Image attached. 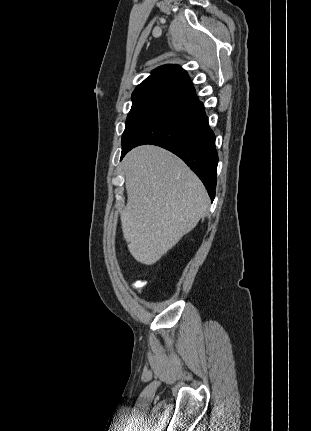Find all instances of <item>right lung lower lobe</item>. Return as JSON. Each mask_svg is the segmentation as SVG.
Here are the masks:
<instances>
[{"instance_id":"right-lung-lower-lobe-1","label":"right lung lower lobe","mask_w":311,"mask_h":431,"mask_svg":"<svg viewBox=\"0 0 311 431\" xmlns=\"http://www.w3.org/2000/svg\"><path fill=\"white\" fill-rule=\"evenodd\" d=\"M143 144L163 147L180 157L201 179L213 201L218 164L215 135L195 93L182 97L143 125L122 149L121 159Z\"/></svg>"}]
</instances>
